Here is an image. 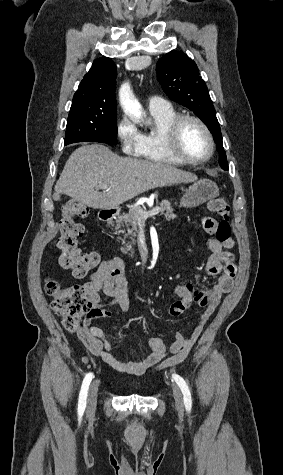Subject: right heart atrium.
Masks as SVG:
<instances>
[{
  "label": "right heart atrium",
  "mask_w": 283,
  "mask_h": 475,
  "mask_svg": "<svg viewBox=\"0 0 283 475\" xmlns=\"http://www.w3.org/2000/svg\"><path fill=\"white\" fill-rule=\"evenodd\" d=\"M115 133L119 139L123 155H131L132 159L141 157L144 146L143 139L127 116L118 119L115 125Z\"/></svg>",
  "instance_id": "right-heart-atrium-1"
}]
</instances>
